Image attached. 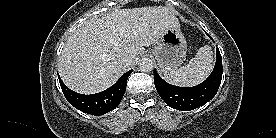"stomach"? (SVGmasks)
<instances>
[{"instance_id": "stomach-1", "label": "stomach", "mask_w": 276, "mask_h": 138, "mask_svg": "<svg viewBox=\"0 0 276 138\" xmlns=\"http://www.w3.org/2000/svg\"><path fill=\"white\" fill-rule=\"evenodd\" d=\"M187 44L179 23L171 25L157 42L152 54L163 72L176 70L183 62Z\"/></svg>"}]
</instances>
